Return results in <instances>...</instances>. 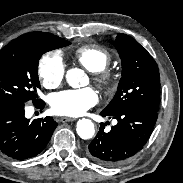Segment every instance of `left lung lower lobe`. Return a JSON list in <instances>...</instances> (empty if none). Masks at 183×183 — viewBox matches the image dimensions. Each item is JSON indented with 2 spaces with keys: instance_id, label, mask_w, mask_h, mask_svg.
<instances>
[{
  "instance_id": "obj_1",
  "label": "left lung lower lobe",
  "mask_w": 183,
  "mask_h": 183,
  "mask_svg": "<svg viewBox=\"0 0 183 183\" xmlns=\"http://www.w3.org/2000/svg\"><path fill=\"white\" fill-rule=\"evenodd\" d=\"M118 123L104 132L103 123L88 147V156L102 166H114L140 151L149 139L157 120V111L131 107L114 114L100 113Z\"/></svg>"
}]
</instances>
